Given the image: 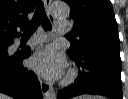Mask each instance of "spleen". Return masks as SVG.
Here are the masks:
<instances>
[{
	"label": "spleen",
	"instance_id": "3e777b00",
	"mask_svg": "<svg viewBox=\"0 0 128 99\" xmlns=\"http://www.w3.org/2000/svg\"><path fill=\"white\" fill-rule=\"evenodd\" d=\"M98 98H100V97H97V96H87L84 99H98Z\"/></svg>",
	"mask_w": 128,
	"mask_h": 99
}]
</instances>
